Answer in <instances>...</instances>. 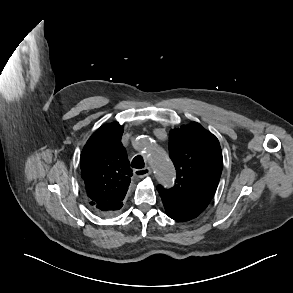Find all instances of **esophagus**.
Returning a JSON list of instances; mask_svg holds the SVG:
<instances>
[{
    "mask_svg": "<svg viewBox=\"0 0 293 293\" xmlns=\"http://www.w3.org/2000/svg\"><path fill=\"white\" fill-rule=\"evenodd\" d=\"M150 174H151V169L149 167L142 168V169H136L134 171V175L136 177H140V178H143V177L148 176Z\"/></svg>",
    "mask_w": 293,
    "mask_h": 293,
    "instance_id": "esophagus-1",
    "label": "esophagus"
}]
</instances>
